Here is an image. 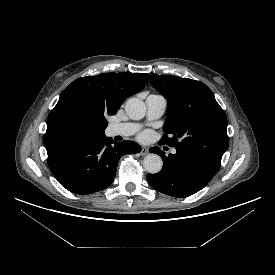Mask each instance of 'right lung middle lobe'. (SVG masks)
<instances>
[{
	"label": "right lung middle lobe",
	"instance_id": "dd1d6c3e",
	"mask_svg": "<svg viewBox=\"0 0 275 275\" xmlns=\"http://www.w3.org/2000/svg\"><path fill=\"white\" fill-rule=\"evenodd\" d=\"M107 124H108V123H107V122H105V127H107Z\"/></svg>",
	"mask_w": 275,
	"mask_h": 275
}]
</instances>
